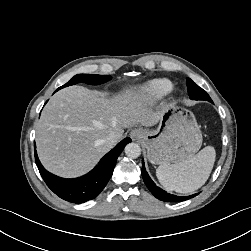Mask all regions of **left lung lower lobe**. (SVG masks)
<instances>
[{"label": "left lung lower lobe", "mask_w": 251, "mask_h": 251, "mask_svg": "<svg viewBox=\"0 0 251 251\" xmlns=\"http://www.w3.org/2000/svg\"><path fill=\"white\" fill-rule=\"evenodd\" d=\"M141 174H142L143 180H144L147 188L159 200H162L165 202H180V201H185L187 199H190V198L197 195V194H193V195L184 196V197L176 196V195L169 194L166 191L162 190L161 188L157 187L156 184L149 177V175L145 169V166H144V161H142Z\"/></svg>", "instance_id": "0a47b994"}]
</instances>
